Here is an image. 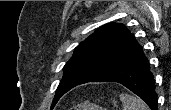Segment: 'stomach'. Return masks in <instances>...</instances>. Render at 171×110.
I'll list each match as a JSON object with an SVG mask.
<instances>
[{
	"mask_svg": "<svg viewBox=\"0 0 171 110\" xmlns=\"http://www.w3.org/2000/svg\"><path fill=\"white\" fill-rule=\"evenodd\" d=\"M113 103H114V106H116V102L114 101Z\"/></svg>",
	"mask_w": 171,
	"mask_h": 110,
	"instance_id": "0dacf381",
	"label": "stomach"
}]
</instances>
